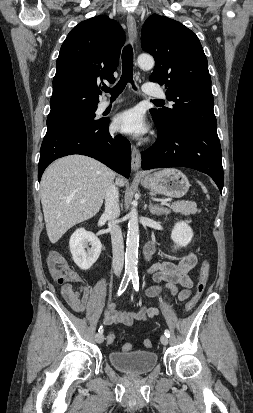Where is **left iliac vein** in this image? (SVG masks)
Returning <instances> with one entry per match:
<instances>
[{
  "instance_id": "left-iliac-vein-1",
  "label": "left iliac vein",
  "mask_w": 253,
  "mask_h": 413,
  "mask_svg": "<svg viewBox=\"0 0 253 413\" xmlns=\"http://www.w3.org/2000/svg\"><path fill=\"white\" fill-rule=\"evenodd\" d=\"M160 341L163 345H167L168 344V337L165 335H162L160 338Z\"/></svg>"
}]
</instances>
